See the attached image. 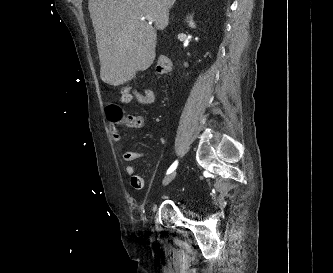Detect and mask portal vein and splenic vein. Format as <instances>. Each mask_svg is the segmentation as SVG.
<instances>
[{"instance_id":"portal-vein-and-splenic-vein-1","label":"portal vein and splenic vein","mask_w":333,"mask_h":273,"mask_svg":"<svg viewBox=\"0 0 333 273\" xmlns=\"http://www.w3.org/2000/svg\"><path fill=\"white\" fill-rule=\"evenodd\" d=\"M143 19H147L149 21V23H152V19L149 16H146Z\"/></svg>"}]
</instances>
